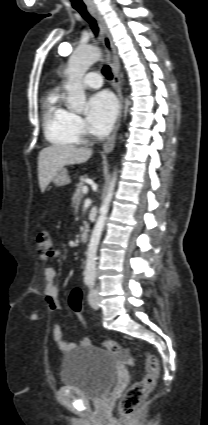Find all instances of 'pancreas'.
Instances as JSON below:
<instances>
[{"label":"pancreas","mask_w":208,"mask_h":425,"mask_svg":"<svg viewBox=\"0 0 208 425\" xmlns=\"http://www.w3.org/2000/svg\"><path fill=\"white\" fill-rule=\"evenodd\" d=\"M87 179V176H81L80 182L77 184V188L75 190V193L72 197L73 206L75 208V211H77L78 206L80 204V201L83 197V187L85 186V181Z\"/></svg>","instance_id":"pancreas-1"}]
</instances>
